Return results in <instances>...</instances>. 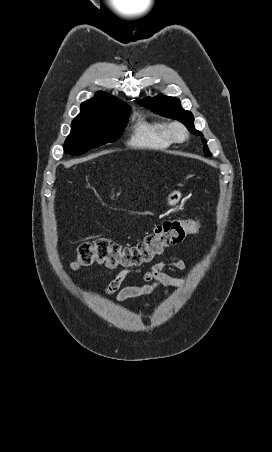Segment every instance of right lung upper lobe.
<instances>
[{"label": "right lung upper lobe", "mask_w": 272, "mask_h": 452, "mask_svg": "<svg viewBox=\"0 0 272 452\" xmlns=\"http://www.w3.org/2000/svg\"><path fill=\"white\" fill-rule=\"evenodd\" d=\"M126 105L117 98L104 93L97 92L93 99L87 100L81 104L80 114L73 121L85 120L101 114L114 107Z\"/></svg>", "instance_id": "1"}]
</instances>
